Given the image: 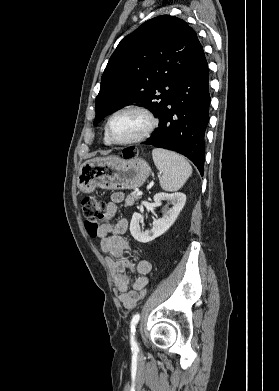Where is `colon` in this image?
<instances>
[{"label": "colon", "mask_w": 279, "mask_h": 391, "mask_svg": "<svg viewBox=\"0 0 279 391\" xmlns=\"http://www.w3.org/2000/svg\"><path fill=\"white\" fill-rule=\"evenodd\" d=\"M106 208V204L94 196H86L82 199L81 209L85 217L87 230L90 235L96 236ZM146 294L147 289L145 287L139 292L140 300H142Z\"/></svg>", "instance_id": "colon-1"}]
</instances>
